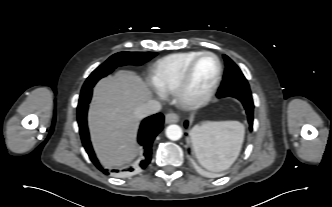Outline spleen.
Wrapping results in <instances>:
<instances>
[{
  "instance_id": "1",
  "label": "spleen",
  "mask_w": 332,
  "mask_h": 207,
  "mask_svg": "<svg viewBox=\"0 0 332 207\" xmlns=\"http://www.w3.org/2000/svg\"><path fill=\"white\" fill-rule=\"evenodd\" d=\"M190 137L199 163L208 170L223 171L240 153L244 126L238 121H206L193 127Z\"/></svg>"
}]
</instances>
